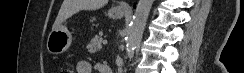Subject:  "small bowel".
<instances>
[{"label":"small bowel","mask_w":244,"mask_h":73,"mask_svg":"<svg viewBox=\"0 0 244 73\" xmlns=\"http://www.w3.org/2000/svg\"><path fill=\"white\" fill-rule=\"evenodd\" d=\"M100 73H105L103 70L105 66H98L97 67ZM92 72V65L90 62L81 60L76 64V73H91Z\"/></svg>","instance_id":"c3829d8e"}]
</instances>
